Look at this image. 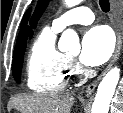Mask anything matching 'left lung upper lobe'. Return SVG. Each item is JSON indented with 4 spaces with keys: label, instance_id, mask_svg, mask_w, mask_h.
<instances>
[{
    "label": "left lung upper lobe",
    "instance_id": "obj_1",
    "mask_svg": "<svg viewBox=\"0 0 123 113\" xmlns=\"http://www.w3.org/2000/svg\"><path fill=\"white\" fill-rule=\"evenodd\" d=\"M50 0H38L35 12L33 17L30 21V26L35 29L38 20L40 19L41 15L44 13L45 9L47 8ZM30 35H32V30L30 29Z\"/></svg>",
    "mask_w": 123,
    "mask_h": 113
}]
</instances>
